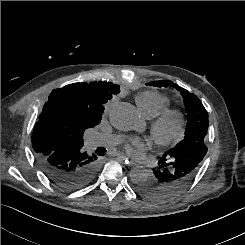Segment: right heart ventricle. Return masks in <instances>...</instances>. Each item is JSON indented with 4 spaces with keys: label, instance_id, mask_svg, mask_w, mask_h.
I'll return each instance as SVG.
<instances>
[{
    "label": "right heart ventricle",
    "instance_id": "e07e8e85",
    "mask_svg": "<svg viewBox=\"0 0 245 245\" xmlns=\"http://www.w3.org/2000/svg\"><path fill=\"white\" fill-rule=\"evenodd\" d=\"M135 100L142 115L148 119L155 118L170 104V99L157 91L142 92Z\"/></svg>",
    "mask_w": 245,
    "mask_h": 245
}]
</instances>
